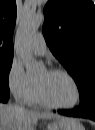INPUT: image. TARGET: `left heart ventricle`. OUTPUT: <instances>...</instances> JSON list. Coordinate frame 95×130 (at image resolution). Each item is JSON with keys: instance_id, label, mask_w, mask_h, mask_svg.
Masks as SVG:
<instances>
[{"instance_id": "obj_1", "label": "left heart ventricle", "mask_w": 95, "mask_h": 130, "mask_svg": "<svg viewBox=\"0 0 95 130\" xmlns=\"http://www.w3.org/2000/svg\"><path fill=\"white\" fill-rule=\"evenodd\" d=\"M36 83L40 85L45 96L55 104L71 105L76 101L75 86L62 74L44 71L36 78Z\"/></svg>"}]
</instances>
